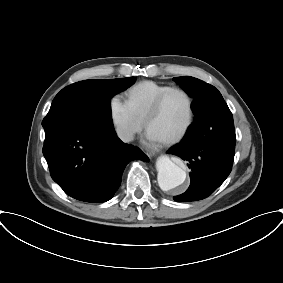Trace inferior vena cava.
<instances>
[{"instance_id":"1","label":"inferior vena cava","mask_w":283,"mask_h":283,"mask_svg":"<svg viewBox=\"0 0 283 283\" xmlns=\"http://www.w3.org/2000/svg\"><path fill=\"white\" fill-rule=\"evenodd\" d=\"M119 138L123 142H130L133 140V133L128 129H119L117 131Z\"/></svg>"}]
</instances>
